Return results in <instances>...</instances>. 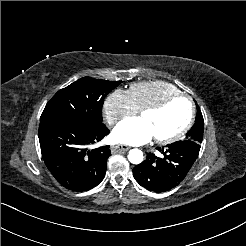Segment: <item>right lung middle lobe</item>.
I'll return each instance as SVG.
<instances>
[{"instance_id":"dd1d6c3e","label":"right lung middle lobe","mask_w":246,"mask_h":246,"mask_svg":"<svg viewBox=\"0 0 246 246\" xmlns=\"http://www.w3.org/2000/svg\"><path fill=\"white\" fill-rule=\"evenodd\" d=\"M121 82L83 77L52 97L43 110L40 122L60 120L86 125L101 123L104 98Z\"/></svg>"}]
</instances>
